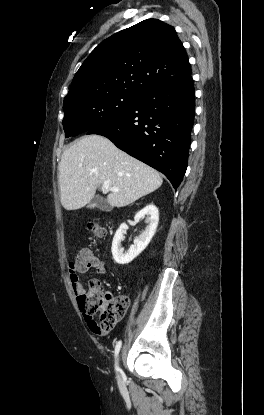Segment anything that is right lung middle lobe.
I'll use <instances>...</instances> for the list:
<instances>
[{"label":"right lung middle lobe","instance_id":"dd1d6c3e","mask_svg":"<svg viewBox=\"0 0 264 415\" xmlns=\"http://www.w3.org/2000/svg\"><path fill=\"white\" fill-rule=\"evenodd\" d=\"M140 96L127 92H107L73 97L64 101L63 128L65 136L107 123L128 112Z\"/></svg>","mask_w":264,"mask_h":415}]
</instances>
